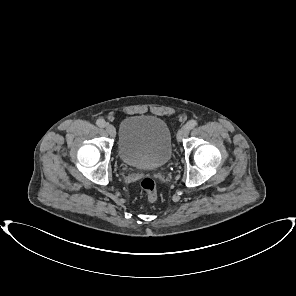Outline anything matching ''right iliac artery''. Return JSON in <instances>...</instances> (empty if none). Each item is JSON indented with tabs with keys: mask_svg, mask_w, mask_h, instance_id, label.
Listing matches in <instances>:
<instances>
[{
	"mask_svg": "<svg viewBox=\"0 0 296 296\" xmlns=\"http://www.w3.org/2000/svg\"><path fill=\"white\" fill-rule=\"evenodd\" d=\"M96 124H97L99 127H101V128H103V127L106 126V122H105L103 119H98V120L96 121Z\"/></svg>",
	"mask_w": 296,
	"mask_h": 296,
	"instance_id": "82829eb1",
	"label": "right iliac artery"
}]
</instances>
